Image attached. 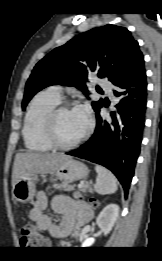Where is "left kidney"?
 Returning <instances> with one entry per match:
<instances>
[{
  "label": "left kidney",
  "instance_id": "1",
  "mask_svg": "<svg viewBox=\"0 0 162 261\" xmlns=\"http://www.w3.org/2000/svg\"><path fill=\"white\" fill-rule=\"evenodd\" d=\"M119 214L117 204L107 205L98 215L96 223L104 235L109 234L112 230Z\"/></svg>",
  "mask_w": 162,
  "mask_h": 261
}]
</instances>
